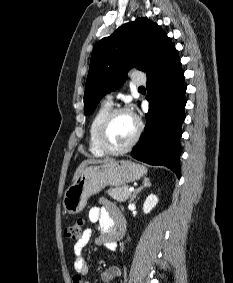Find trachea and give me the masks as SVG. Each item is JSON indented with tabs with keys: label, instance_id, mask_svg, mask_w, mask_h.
<instances>
[{
	"label": "trachea",
	"instance_id": "3493384b",
	"mask_svg": "<svg viewBox=\"0 0 233 283\" xmlns=\"http://www.w3.org/2000/svg\"><path fill=\"white\" fill-rule=\"evenodd\" d=\"M144 89V87H139V90Z\"/></svg>",
	"mask_w": 233,
	"mask_h": 283
}]
</instances>
